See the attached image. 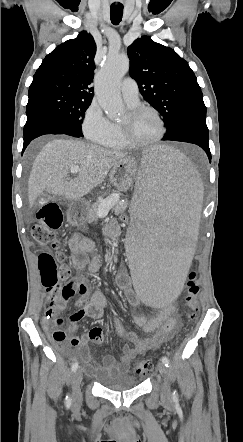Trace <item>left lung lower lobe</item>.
I'll list each match as a JSON object with an SVG mask.
<instances>
[{"label": "left lung lower lobe", "instance_id": "1", "mask_svg": "<svg viewBox=\"0 0 243 442\" xmlns=\"http://www.w3.org/2000/svg\"><path fill=\"white\" fill-rule=\"evenodd\" d=\"M208 128L206 125V108L196 109L179 119L172 130L162 140L193 143L200 146L211 161L208 144Z\"/></svg>", "mask_w": 243, "mask_h": 442}]
</instances>
